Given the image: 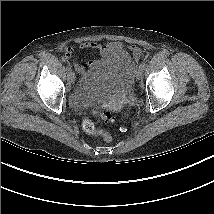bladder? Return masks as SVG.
Masks as SVG:
<instances>
[{
  "mask_svg": "<svg viewBox=\"0 0 214 214\" xmlns=\"http://www.w3.org/2000/svg\"><path fill=\"white\" fill-rule=\"evenodd\" d=\"M121 57L111 56L105 64L85 74L71 92L74 107L91 102H108L122 97L133 89V82Z\"/></svg>",
  "mask_w": 214,
  "mask_h": 214,
  "instance_id": "bladder-1",
  "label": "bladder"
}]
</instances>
